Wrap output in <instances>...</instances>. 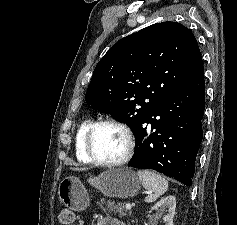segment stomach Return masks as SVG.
Segmentation results:
<instances>
[{
    "instance_id": "1",
    "label": "stomach",
    "mask_w": 237,
    "mask_h": 225,
    "mask_svg": "<svg viewBox=\"0 0 237 225\" xmlns=\"http://www.w3.org/2000/svg\"><path fill=\"white\" fill-rule=\"evenodd\" d=\"M88 183L107 197L131 198L140 191V181L135 172L128 168H110L96 177L91 176ZM61 203L73 211H82L89 205V195L81 180L70 176L58 186Z\"/></svg>"
}]
</instances>
